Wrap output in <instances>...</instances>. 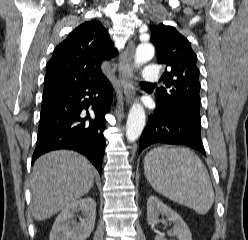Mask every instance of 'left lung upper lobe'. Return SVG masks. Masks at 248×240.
I'll return each mask as SVG.
<instances>
[{
	"mask_svg": "<svg viewBox=\"0 0 248 240\" xmlns=\"http://www.w3.org/2000/svg\"><path fill=\"white\" fill-rule=\"evenodd\" d=\"M150 29L158 63L165 64L169 69L162 76L168 89H158L155 94L157 106L170 111L199 113V70L196 66L197 56L189 41L172 26L160 23Z\"/></svg>",
	"mask_w": 248,
	"mask_h": 240,
	"instance_id": "5c2ea615",
	"label": "left lung upper lobe"
}]
</instances>
